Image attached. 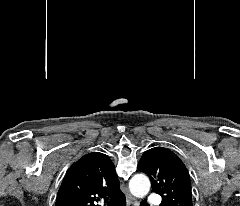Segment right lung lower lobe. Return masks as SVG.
Instances as JSON below:
<instances>
[{"label":"right lung lower lobe","mask_w":240,"mask_h":206,"mask_svg":"<svg viewBox=\"0 0 240 206\" xmlns=\"http://www.w3.org/2000/svg\"><path fill=\"white\" fill-rule=\"evenodd\" d=\"M111 203L113 206H126V199L124 194L122 193L120 196L115 198Z\"/></svg>","instance_id":"1"}]
</instances>
